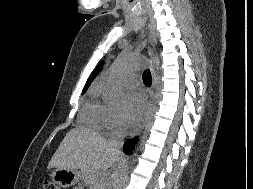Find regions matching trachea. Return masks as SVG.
<instances>
[{"label": "trachea", "instance_id": "trachea-1", "mask_svg": "<svg viewBox=\"0 0 253 189\" xmlns=\"http://www.w3.org/2000/svg\"><path fill=\"white\" fill-rule=\"evenodd\" d=\"M143 82L146 86L150 87L152 84V78H151V73L149 69H146L143 72Z\"/></svg>", "mask_w": 253, "mask_h": 189}]
</instances>
